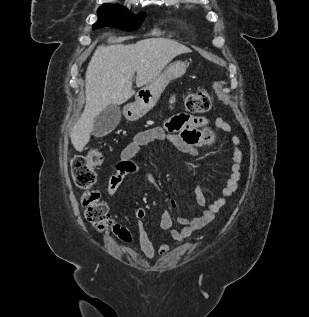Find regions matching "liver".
<instances>
[{
  "label": "liver",
  "mask_w": 309,
  "mask_h": 317,
  "mask_svg": "<svg viewBox=\"0 0 309 317\" xmlns=\"http://www.w3.org/2000/svg\"><path fill=\"white\" fill-rule=\"evenodd\" d=\"M191 50L168 38H149L130 45L99 46L94 52L85 75L86 104L71 133V143L82 152L93 132L95 117L108 105H121L135 91L156 79L166 65L180 54Z\"/></svg>",
  "instance_id": "1"
}]
</instances>
